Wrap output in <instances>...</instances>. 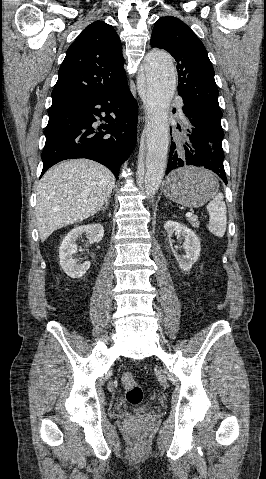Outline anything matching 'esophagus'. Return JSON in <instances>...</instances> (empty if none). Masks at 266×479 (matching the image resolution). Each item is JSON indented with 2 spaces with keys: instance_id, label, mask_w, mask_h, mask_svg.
Listing matches in <instances>:
<instances>
[{
  "instance_id": "1",
  "label": "esophagus",
  "mask_w": 266,
  "mask_h": 479,
  "mask_svg": "<svg viewBox=\"0 0 266 479\" xmlns=\"http://www.w3.org/2000/svg\"><path fill=\"white\" fill-rule=\"evenodd\" d=\"M141 121V117H139V122Z\"/></svg>"
}]
</instances>
